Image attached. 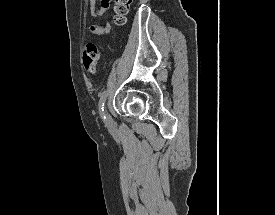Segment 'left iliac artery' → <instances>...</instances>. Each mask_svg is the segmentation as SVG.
<instances>
[{
    "instance_id": "left-iliac-artery-1",
    "label": "left iliac artery",
    "mask_w": 275,
    "mask_h": 215,
    "mask_svg": "<svg viewBox=\"0 0 275 215\" xmlns=\"http://www.w3.org/2000/svg\"><path fill=\"white\" fill-rule=\"evenodd\" d=\"M105 100H106V91H103V92L100 94L99 112H100V115H101L104 119H105V115H104L103 111H104Z\"/></svg>"
}]
</instances>
